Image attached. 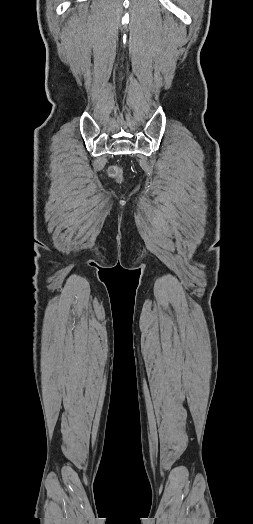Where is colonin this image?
I'll use <instances>...</instances> for the list:
<instances>
[{
    "instance_id": "obj_1",
    "label": "colon",
    "mask_w": 253,
    "mask_h": 524,
    "mask_svg": "<svg viewBox=\"0 0 253 524\" xmlns=\"http://www.w3.org/2000/svg\"><path fill=\"white\" fill-rule=\"evenodd\" d=\"M108 174L111 178L120 180L121 179V169L118 166H111L108 170Z\"/></svg>"
}]
</instances>
